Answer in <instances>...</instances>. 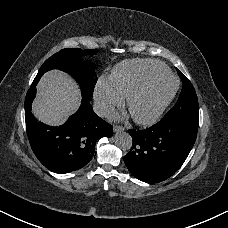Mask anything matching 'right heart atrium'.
<instances>
[{
  "label": "right heart atrium",
  "instance_id": "right-heart-atrium-1",
  "mask_svg": "<svg viewBox=\"0 0 228 228\" xmlns=\"http://www.w3.org/2000/svg\"><path fill=\"white\" fill-rule=\"evenodd\" d=\"M95 99L102 112H108L123 103V97L109 79L99 80L95 89Z\"/></svg>",
  "mask_w": 228,
  "mask_h": 228
}]
</instances>
